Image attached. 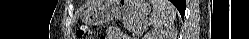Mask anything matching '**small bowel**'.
Wrapping results in <instances>:
<instances>
[{
    "instance_id": "c3829d8e",
    "label": "small bowel",
    "mask_w": 249,
    "mask_h": 39,
    "mask_svg": "<svg viewBox=\"0 0 249 39\" xmlns=\"http://www.w3.org/2000/svg\"><path fill=\"white\" fill-rule=\"evenodd\" d=\"M122 33L118 27H109L102 39H121Z\"/></svg>"
}]
</instances>
